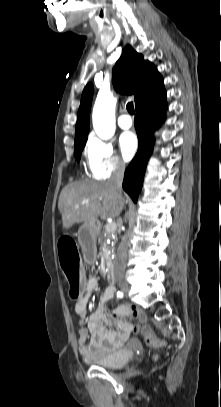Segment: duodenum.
Instances as JSON below:
<instances>
[{
  "mask_svg": "<svg viewBox=\"0 0 221 407\" xmlns=\"http://www.w3.org/2000/svg\"><path fill=\"white\" fill-rule=\"evenodd\" d=\"M107 280H108L110 283H114V282H115V274H114V270H113L112 267H109V268L107 269Z\"/></svg>",
  "mask_w": 221,
  "mask_h": 407,
  "instance_id": "duodenum-1",
  "label": "duodenum"
}]
</instances>
